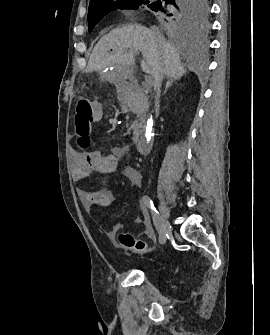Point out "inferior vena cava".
Segmentation results:
<instances>
[{"label":"inferior vena cava","instance_id":"obj_1","mask_svg":"<svg viewBox=\"0 0 270 335\" xmlns=\"http://www.w3.org/2000/svg\"><path fill=\"white\" fill-rule=\"evenodd\" d=\"M151 32H152V34H154L155 38H160L161 34H160L159 28H156V26H151ZM154 80H155V82H154V90L156 92L155 104H156V106H159V102H160V88H161V84H162V80H163L162 74H155Z\"/></svg>","mask_w":270,"mask_h":335}]
</instances>
